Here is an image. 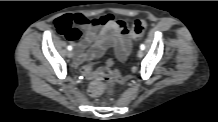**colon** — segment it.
Returning a JSON list of instances; mask_svg holds the SVG:
<instances>
[{
  "label": "colon",
  "mask_w": 218,
  "mask_h": 122,
  "mask_svg": "<svg viewBox=\"0 0 218 122\" xmlns=\"http://www.w3.org/2000/svg\"><path fill=\"white\" fill-rule=\"evenodd\" d=\"M74 19L71 16H62L55 22L57 30L61 34H65L68 39L78 40L81 36V31L78 27L74 26ZM147 27V23L143 19H138L132 26V37L138 38L142 36ZM103 67L96 70L95 62H83L78 66V73L84 74L90 79L88 91L91 95L97 96L104 90L111 94L114 91V84L119 82L121 84L130 83L133 80L131 74L121 76L117 69V62L114 61L112 55L103 56ZM96 70V71H95ZM104 82L108 83L107 87H104Z\"/></svg>",
  "instance_id": "obj_1"
}]
</instances>
